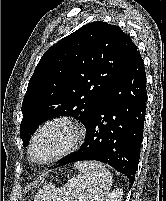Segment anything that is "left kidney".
Here are the masks:
<instances>
[{"label":"left kidney","mask_w":166,"mask_h":201,"mask_svg":"<svg viewBox=\"0 0 166 201\" xmlns=\"http://www.w3.org/2000/svg\"><path fill=\"white\" fill-rule=\"evenodd\" d=\"M123 190L117 189L109 194H107L102 201H123Z\"/></svg>","instance_id":"5707ae66"}]
</instances>
